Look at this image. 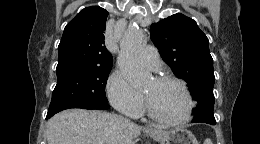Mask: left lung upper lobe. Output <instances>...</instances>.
<instances>
[{
	"label": "left lung upper lobe",
	"instance_id": "obj_1",
	"mask_svg": "<svg viewBox=\"0 0 260 144\" xmlns=\"http://www.w3.org/2000/svg\"><path fill=\"white\" fill-rule=\"evenodd\" d=\"M150 33L162 59L176 77L189 84L191 95L198 102L193 110V122L215 123V76L206 35L193 19L183 14H174L153 23Z\"/></svg>",
	"mask_w": 260,
	"mask_h": 144
}]
</instances>
